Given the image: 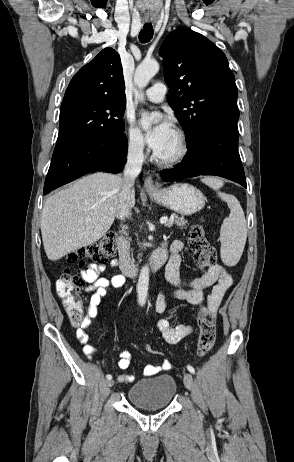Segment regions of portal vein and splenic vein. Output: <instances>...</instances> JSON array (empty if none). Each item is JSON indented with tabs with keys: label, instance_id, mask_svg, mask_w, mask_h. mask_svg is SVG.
<instances>
[{
	"label": "portal vein and splenic vein",
	"instance_id": "1",
	"mask_svg": "<svg viewBox=\"0 0 294 462\" xmlns=\"http://www.w3.org/2000/svg\"><path fill=\"white\" fill-rule=\"evenodd\" d=\"M171 221H172V219L169 220L167 217H162V218L160 219V223H161V224H167V223H169V222H171Z\"/></svg>",
	"mask_w": 294,
	"mask_h": 462
}]
</instances>
